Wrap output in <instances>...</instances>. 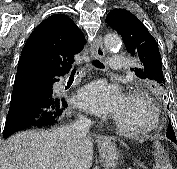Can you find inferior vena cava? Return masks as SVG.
<instances>
[{
	"label": "inferior vena cava",
	"mask_w": 177,
	"mask_h": 169,
	"mask_svg": "<svg viewBox=\"0 0 177 169\" xmlns=\"http://www.w3.org/2000/svg\"><path fill=\"white\" fill-rule=\"evenodd\" d=\"M90 126V119L86 117H79L75 123L61 128L60 132L64 140L67 154H70L73 146L86 137Z\"/></svg>",
	"instance_id": "inferior-vena-cava-1"
}]
</instances>
